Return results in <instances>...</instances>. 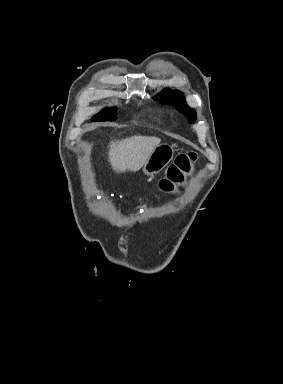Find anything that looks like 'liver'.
I'll list each match as a JSON object with an SVG mask.
<instances>
[{
	"label": "liver",
	"instance_id": "1",
	"mask_svg": "<svg viewBox=\"0 0 283 384\" xmlns=\"http://www.w3.org/2000/svg\"><path fill=\"white\" fill-rule=\"evenodd\" d=\"M160 138L148 136H132L121 142H111L109 148V162L116 172H138L147 162L151 152L159 146Z\"/></svg>",
	"mask_w": 283,
	"mask_h": 384
}]
</instances>
